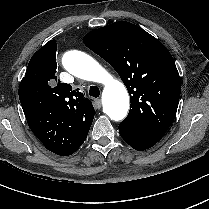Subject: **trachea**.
<instances>
[{"label":"trachea","instance_id":"obj_1","mask_svg":"<svg viewBox=\"0 0 209 209\" xmlns=\"http://www.w3.org/2000/svg\"><path fill=\"white\" fill-rule=\"evenodd\" d=\"M89 95L92 96V97H99L100 95V90L97 86H90L89 88Z\"/></svg>","mask_w":209,"mask_h":209}]
</instances>
